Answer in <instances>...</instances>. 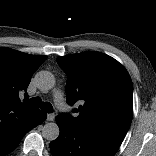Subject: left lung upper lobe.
I'll return each instance as SVG.
<instances>
[{
    "label": "left lung upper lobe",
    "mask_w": 156,
    "mask_h": 156,
    "mask_svg": "<svg viewBox=\"0 0 156 156\" xmlns=\"http://www.w3.org/2000/svg\"><path fill=\"white\" fill-rule=\"evenodd\" d=\"M57 63L67 75V102L82 103L74 110L77 117L63 116L80 130L121 144L133 116V85L125 67L100 52L61 56Z\"/></svg>",
    "instance_id": "1"
}]
</instances>
